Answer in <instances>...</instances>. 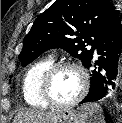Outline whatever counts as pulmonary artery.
<instances>
[{
	"label": "pulmonary artery",
	"instance_id": "pulmonary-artery-1",
	"mask_svg": "<svg viewBox=\"0 0 122 123\" xmlns=\"http://www.w3.org/2000/svg\"><path fill=\"white\" fill-rule=\"evenodd\" d=\"M94 54H95V57L97 56V52H96V50L94 51Z\"/></svg>",
	"mask_w": 122,
	"mask_h": 123
}]
</instances>
